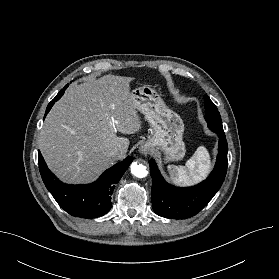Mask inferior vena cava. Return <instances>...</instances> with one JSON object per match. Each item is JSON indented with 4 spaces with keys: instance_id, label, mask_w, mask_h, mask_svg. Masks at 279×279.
Instances as JSON below:
<instances>
[{
    "instance_id": "602c4592",
    "label": "inferior vena cava",
    "mask_w": 279,
    "mask_h": 279,
    "mask_svg": "<svg viewBox=\"0 0 279 279\" xmlns=\"http://www.w3.org/2000/svg\"><path fill=\"white\" fill-rule=\"evenodd\" d=\"M122 154V151L119 148H115L109 152V155L112 157H117Z\"/></svg>"
}]
</instances>
